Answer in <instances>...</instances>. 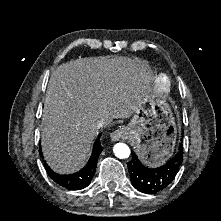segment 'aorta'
<instances>
[{"instance_id": "1", "label": "aorta", "mask_w": 221, "mask_h": 221, "mask_svg": "<svg viewBox=\"0 0 221 221\" xmlns=\"http://www.w3.org/2000/svg\"><path fill=\"white\" fill-rule=\"evenodd\" d=\"M113 152H114L115 156L120 159H125L130 156V149L124 143L115 144V146L113 148Z\"/></svg>"}]
</instances>
